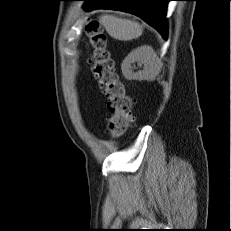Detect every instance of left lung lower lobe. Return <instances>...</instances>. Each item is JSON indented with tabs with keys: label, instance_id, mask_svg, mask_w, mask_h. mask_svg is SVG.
Instances as JSON below:
<instances>
[{
	"label": "left lung lower lobe",
	"instance_id": "left-lung-lower-lobe-1",
	"mask_svg": "<svg viewBox=\"0 0 231 231\" xmlns=\"http://www.w3.org/2000/svg\"><path fill=\"white\" fill-rule=\"evenodd\" d=\"M86 1V11L96 8L115 9L132 13L154 27L164 39L167 36L166 10L172 0H79Z\"/></svg>",
	"mask_w": 231,
	"mask_h": 231
}]
</instances>
